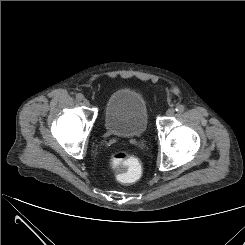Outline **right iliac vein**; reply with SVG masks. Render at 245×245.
<instances>
[{
  "label": "right iliac vein",
  "mask_w": 245,
  "mask_h": 245,
  "mask_svg": "<svg viewBox=\"0 0 245 245\" xmlns=\"http://www.w3.org/2000/svg\"><path fill=\"white\" fill-rule=\"evenodd\" d=\"M83 103H84L85 106H89L90 105V102L87 99H84Z\"/></svg>",
  "instance_id": "right-iliac-vein-1"
}]
</instances>
